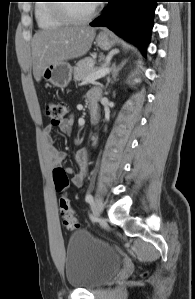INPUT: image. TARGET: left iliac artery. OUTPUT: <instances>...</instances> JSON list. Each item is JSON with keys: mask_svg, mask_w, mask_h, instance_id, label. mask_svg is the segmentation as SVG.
<instances>
[{"mask_svg": "<svg viewBox=\"0 0 195 299\" xmlns=\"http://www.w3.org/2000/svg\"><path fill=\"white\" fill-rule=\"evenodd\" d=\"M85 200L86 202L91 203L93 202V196L91 194H87Z\"/></svg>", "mask_w": 195, "mask_h": 299, "instance_id": "44dca946", "label": "left iliac artery"}]
</instances>
